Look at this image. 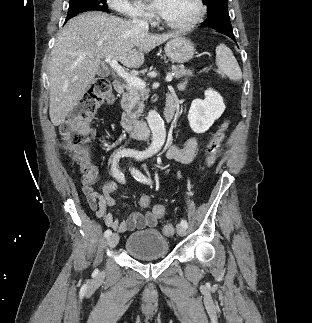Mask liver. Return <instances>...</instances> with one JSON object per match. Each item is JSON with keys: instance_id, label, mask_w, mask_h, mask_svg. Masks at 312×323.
Listing matches in <instances>:
<instances>
[{"instance_id": "obj_1", "label": "liver", "mask_w": 312, "mask_h": 323, "mask_svg": "<svg viewBox=\"0 0 312 323\" xmlns=\"http://www.w3.org/2000/svg\"><path fill=\"white\" fill-rule=\"evenodd\" d=\"M177 36L148 34L133 22L104 12H84L69 20L55 40L48 68L53 126L63 124L83 98L103 58L140 68L144 54Z\"/></svg>"}]
</instances>
